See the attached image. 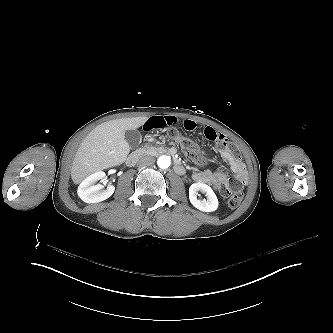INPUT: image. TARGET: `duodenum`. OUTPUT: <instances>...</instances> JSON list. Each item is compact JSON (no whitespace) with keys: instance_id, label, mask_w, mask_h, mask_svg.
Masks as SVG:
<instances>
[{"instance_id":"1","label":"duodenum","mask_w":333,"mask_h":333,"mask_svg":"<svg viewBox=\"0 0 333 333\" xmlns=\"http://www.w3.org/2000/svg\"><path fill=\"white\" fill-rule=\"evenodd\" d=\"M141 155H142V151H140V150L132 152L131 154L128 155V157L126 159V164L128 166L136 165L137 162L139 161ZM174 169L178 174L184 173V167L182 166V164H180L178 162L175 163Z\"/></svg>"}]
</instances>
